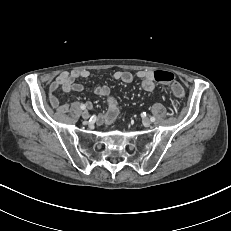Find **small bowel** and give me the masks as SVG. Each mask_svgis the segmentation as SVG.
<instances>
[{
    "label": "small bowel",
    "instance_id": "obj_1",
    "mask_svg": "<svg viewBox=\"0 0 231 231\" xmlns=\"http://www.w3.org/2000/svg\"><path fill=\"white\" fill-rule=\"evenodd\" d=\"M89 76L90 71L86 69L60 73L50 86L51 104L54 107H58L60 112H66L68 105H59V99L57 97L58 91L62 90L64 93L81 92L84 86L78 83L77 80L88 78ZM136 77L141 81V86L145 91L151 92L155 89L153 71L140 70L136 73ZM113 78L124 83H131L134 80V75L129 71L119 70L114 72ZM93 92L98 96L106 98L107 101V109L105 113L99 116V123L107 125L113 123L118 115V102L117 99L111 95L110 88L106 85L97 86ZM86 105L88 108H92L91 102H87Z\"/></svg>",
    "mask_w": 231,
    "mask_h": 231
}]
</instances>
